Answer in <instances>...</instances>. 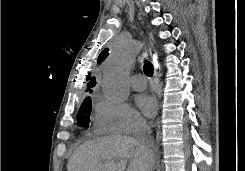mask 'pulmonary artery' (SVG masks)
Here are the masks:
<instances>
[{"label": "pulmonary artery", "instance_id": "1", "mask_svg": "<svg viewBox=\"0 0 245 171\" xmlns=\"http://www.w3.org/2000/svg\"><path fill=\"white\" fill-rule=\"evenodd\" d=\"M130 83L133 89L137 91H142L146 88V80L144 76L136 74L131 77Z\"/></svg>", "mask_w": 245, "mask_h": 171}]
</instances>
